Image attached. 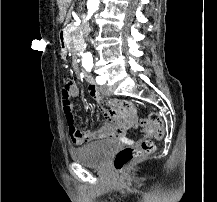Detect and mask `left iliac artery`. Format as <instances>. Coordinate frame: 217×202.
<instances>
[{"label":"left iliac artery","mask_w":217,"mask_h":202,"mask_svg":"<svg viewBox=\"0 0 217 202\" xmlns=\"http://www.w3.org/2000/svg\"><path fill=\"white\" fill-rule=\"evenodd\" d=\"M96 82L99 84V85H103L106 80H104L101 76H97L96 77Z\"/></svg>","instance_id":"left-iliac-artery-1"}]
</instances>
